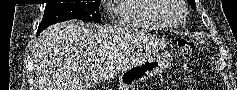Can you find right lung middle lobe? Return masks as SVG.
<instances>
[{"instance_id":"right-lung-middle-lobe-1","label":"right lung middle lobe","mask_w":237,"mask_h":90,"mask_svg":"<svg viewBox=\"0 0 237 90\" xmlns=\"http://www.w3.org/2000/svg\"><path fill=\"white\" fill-rule=\"evenodd\" d=\"M100 0L95 2L58 3L46 4L44 18L42 19L37 34L52 24L70 19H79L99 23Z\"/></svg>"}]
</instances>
